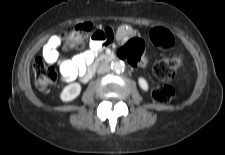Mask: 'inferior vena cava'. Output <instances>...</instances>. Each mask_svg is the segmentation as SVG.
<instances>
[{"label": "inferior vena cava", "mask_w": 225, "mask_h": 155, "mask_svg": "<svg viewBox=\"0 0 225 155\" xmlns=\"http://www.w3.org/2000/svg\"><path fill=\"white\" fill-rule=\"evenodd\" d=\"M110 70V67L108 64H101L98 69H97V73L101 74V73H106Z\"/></svg>", "instance_id": "obj_1"}]
</instances>
